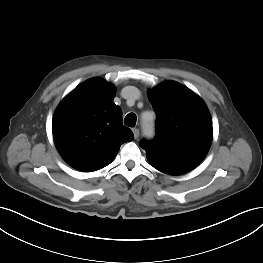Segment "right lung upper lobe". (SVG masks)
I'll use <instances>...</instances> for the list:
<instances>
[{
    "instance_id": "1",
    "label": "right lung upper lobe",
    "mask_w": 263,
    "mask_h": 263,
    "mask_svg": "<svg viewBox=\"0 0 263 263\" xmlns=\"http://www.w3.org/2000/svg\"><path fill=\"white\" fill-rule=\"evenodd\" d=\"M115 88L101 78L76 87L57 107L53 138L62 158L83 172L110 164L120 146L134 139L122 124V110L113 103Z\"/></svg>"
}]
</instances>
